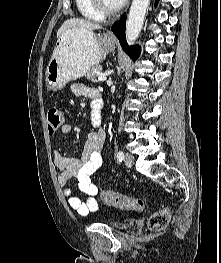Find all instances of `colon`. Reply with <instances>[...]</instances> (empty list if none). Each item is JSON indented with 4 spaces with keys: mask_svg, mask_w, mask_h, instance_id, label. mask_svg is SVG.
Masks as SVG:
<instances>
[{
    "mask_svg": "<svg viewBox=\"0 0 221 263\" xmlns=\"http://www.w3.org/2000/svg\"><path fill=\"white\" fill-rule=\"evenodd\" d=\"M64 113L59 107H52L47 113V126L52 134L63 124ZM100 198L105 205L118 208L120 210L141 212L144 209V202L141 199L123 195L117 192L103 190ZM170 212L168 208L154 212L148 219V227L151 231H161L169 223Z\"/></svg>",
    "mask_w": 221,
    "mask_h": 263,
    "instance_id": "5ec220e1",
    "label": "colon"
}]
</instances>
